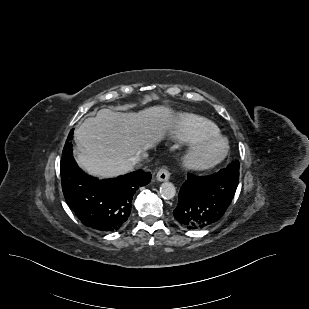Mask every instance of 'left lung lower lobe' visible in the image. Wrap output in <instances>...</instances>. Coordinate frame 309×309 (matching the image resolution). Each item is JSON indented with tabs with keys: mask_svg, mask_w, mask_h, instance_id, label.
<instances>
[{
	"mask_svg": "<svg viewBox=\"0 0 309 309\" xmlns=\"http://www.w3.org/2000/svg\"><path fill=\"white\" fill-rule=\"evenodd\" d=\"M239 176L228 170L208 176L187 175L173 211L175 219L188 229H202L216 223L229 207Z\"/></svg>",
	"mask_w": 309,
	"mask_h": 309,
	"instance_id": "1",
	"label": "left lung lower lobe"
}]
</instances>
